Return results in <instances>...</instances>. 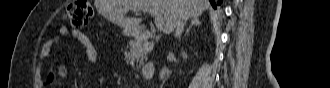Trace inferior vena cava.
Instances as JSON below:
<instances>
[{
	"instance_id": "obj_1",
	"label": "inferior vena cava",
	"mask_w": 330,
	"mask_h": 88,
	"mask_svg": "<svg viewBox=\"0 0 330 88\" xmlns=\"http://www.w3.org/2000/svg\"><path fill=\"white\" fill-rule=\"evenodd\" d=\"M187 20H188V15H186V14L181 15L180 19L176 23L175 37H178V38L181 37V34L183 32V29H184V26H185Z\"/></svg>"
}]
</instances>
